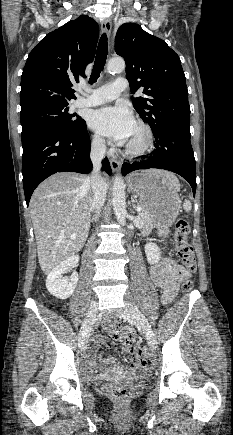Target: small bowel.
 Listing matches in <instances>:
<instances>
[{"instance_id":"small-bowel-1","label":"small bowel","mask_w":233,"mask_h":435,"mask_svg":"<svg viewBox=\"0 0 233 435\" xmlns=\"http://www.w3.org/2000/svg\"><path fill=\"white\" fill-rule=\"evenodd\" d=\"M190 277V272L170 259L157 262L150 270L152 283L162 289L161 303L163 305H167L173 301L177 295L180 282ZM104 330L106 334L98 335L95 338V342L85 358L86 373L88 376H92L98 372L102 374L124 372L137 377L142 376L146 366L145 357L128 350L125 346L124 350L133 355L132 362L129 366H123L119 360L113 357H107L102 360L100 365L97 364V356L101 347L105 346L114 349L115 340L127 338V328H121L115 324H105ZM132 338L134 342L140 343L139 338L133 332Z\"/></svg>"}]
</instances>
